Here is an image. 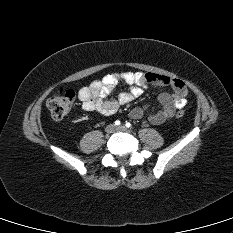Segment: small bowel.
Returning <instances> with one entry per match:
<instances>
[{
  "instance_id": "c3829d8e",
  "label": "small bowel",
  "mask_w": 233,
  "mask_h": 233,
  "mask_svg": "<svg viewBox=\"0 0 233 233\" xmlns=\"http://www.w3.org/2000/svg\"><path fill=\"white\" fill-rule=\"evenodd\" d=\"M122 81L130 86L129 91L122 92L116 99H107L113 89ZM148 84L157 86H170L181 92L180 95H173L163 92L158 96L162 108L149 116V121L154 125H160L175 115V112L183 109L187 104V88L180 79L156 73L142 72H121L105 75L100 80H95L90 85L82 87L78 91V99L85 111H96L104 116L115 114L121 106L126 105L139 98L143 89ZM149 106L147 104L137 106L130 112L133 119H141Z\"/></svg>"
}]
</instances>
